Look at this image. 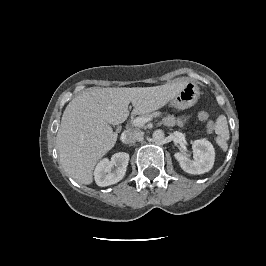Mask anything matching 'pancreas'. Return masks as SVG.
<instances>
[{
	"instance_id": "obj_1",
	"label": "pancreas",
	"mask_w": 266,
	"mask_h": 266,
	"mask_svg": "<svg viewBox=\"0 0 266 266\" xmlns=\"http://www.w3.org/2000/svg\"><path fill=\"white\" fill-rule=\"evenodd\" d=\"M161 115V113L159 112V111H156V112H153L152 114H145V115H141L140 117H158V116H160ZM135 120V119H134ZM134 120H132V125L133 126H135V127H137V128H141V127H143L144 125H142V126H137V125H135V123H134Z\"/></svg>"
}]
</instances>
